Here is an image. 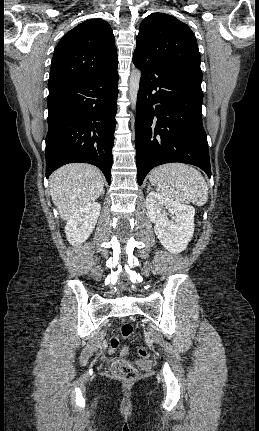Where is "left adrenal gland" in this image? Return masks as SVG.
<instances>
[{
  "mask_svg": "<svg viewBox=\"0 0 259 431\" xmlns=\"http://www.w3.org/2000/svg\"><path fill=\"white\" fill-rule=\"evenodd\" d=\"M150 190V185L148 184V186H147V191H149Z\"/></svg>",
  "mask_w": 259,
  "mask_h": 431,
  "instance_id": "a2214340",
  "label": "left adrenal gland"
}]
</instances>
